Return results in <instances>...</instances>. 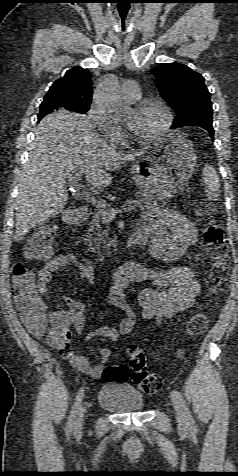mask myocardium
Wrapping results in <instances>:
<instances>
[{"label": "myocardium", "instance_id": "myocardium-1", "mask_svg": "<svg viewBox=\"0 0 238 476\" xmlns=\"http://www.w3.org/2000/svg\"><path fill=\"white\" fill-rule=\"evenodd\" d=\"M149 106H155V107H158L162 110V112L164 114V122H163V124L161 125L160 128H158L156 131H154L151 134L146 135V136L137 135L136 133H134L133 131L130 130L134 139H136L139 142L152 141V140H155L156 138L164 135L165 133L168 132V130L170 129V127L173 123L172 111H171L169 105L167 103H165L164 101H161V100H158V99H146V100H143V101L137 103L134 110L140 111V110H142L146 107H149Z\"/></svg>", "mask_w": 238, "mask_h": 476}]
</instances>
